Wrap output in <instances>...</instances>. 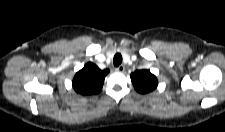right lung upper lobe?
Here are the masks:
<instances>
[{
    "instance_id": "1",
    "label": "right lung upper lobe",
    "mask_w": 225,
    "mask_h": 132,
    "mask_svg": "<svg viewBox=\"0 0 225 132\" xmlns=\"http://www.w3.org/2000/svg\"><path fill=\"white\" fill-rule=\"evenodd\" d=\"M108 73L109 70H100L95 64L89 62L74 76L73 88L82 95L97 94L101 91Z\"/></svg>"
}]
</instances>
